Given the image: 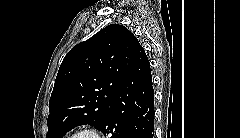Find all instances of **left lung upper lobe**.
Wrapping results in <instances>:
<instances>
[{"label":"left lung upper lobe","mask_w":240,"mask_h":138,"mask_svg":"<svg viewBox=\"0 0 240 138\" xmlns=\"http://www.w3.org/2000/svg\"><path fill=\"white\" fill-rule=\"evenodd\" d=\"M141 47L119 24L74 46L63 59L49 100L47 138H62L79 125L99 129Z\"/></svg>","instance_id":"left-lung-upper-lobe-1"}]
</instances>
